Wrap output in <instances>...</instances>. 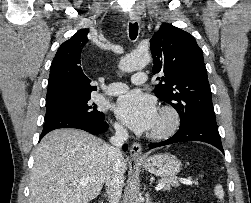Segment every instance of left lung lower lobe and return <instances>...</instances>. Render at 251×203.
I'll return each mask as SVG.
<instances>
[{
	"mask_svg": "<svg viewBox=\"0 0 251 203\" xmlns=\"http://www.w3.org/2000/svg\"><path fill=\"white\" fill-rule=\"evenodd\" d=\"M185 141H202L223 151L217 125L204 121H195L185 127H180L171 138L157 143H150L149 149Z\"/></svg>",
	"mask_w": 251,
	"mask_h": 203,
	"instance_id": "left-lung-lower-lobe-1",
	"label": "left lung lower lobe"
}]
</instances>
